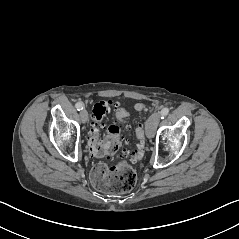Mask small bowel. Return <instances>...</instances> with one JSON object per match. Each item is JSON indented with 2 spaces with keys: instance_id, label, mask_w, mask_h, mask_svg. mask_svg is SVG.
Segmentation results:
<instances>
[{
  "instance_id": "c3829d8e",
  "label": "small bowel",
  "mask_w": 239,
  "mask_h": 239,
  "mask_svg": "<svg viewBox=\"0 0 239 239\" xmlns=\"http://www.w3.org/2000/svg\"><path fill=\"white\" fill-rule=\"evenodd\" d=\"M125 111L119 104L116 105V114Z\"/></svg>"
}]
</instances>
